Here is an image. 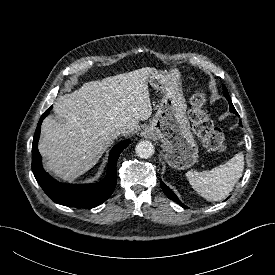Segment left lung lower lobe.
<instances>
[{"mask_svg": "<svg viewBox=\"0 0 275 275\" xmlns=\"http://www.w3.org/2000/svg\"><path fill=\"white\" fill-rule=\"evenodd\" d=\"M229 102V106H230V111L237 114V111L235 110L233 104H232V101H231V98L229 95L225 96ZM240 125H241V121L239 122ZM160 184H161V187H162V190L163 192L167 195V197L171 200H174L175 202H177L178 204H180L182 207L184 208H187V206H185L183 203L180 202V200L178 199V197L172 192V190L167 187L162 181H160Z\"/></svg>", "mask_w": 275, "mask_h": 275, "instance_id": "obj_1", "label": "left lung lower lobe"}]
</instances>
